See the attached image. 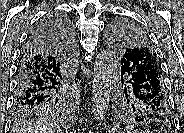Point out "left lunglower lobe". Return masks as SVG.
<instances>
[{
    "label": "left lung lower lobe",
    "mask_w": 184,
    "mask_h": 133,
    "mask_svg": "<svg viewBox=\"0 0 184 133\" xmlns=\"http://www.w3.org/2000/svg\"><path fill=\"white\" fill-rule=\"evenodd\" d=\"M138 68L132 70L129 84L133 88L135 97L142 103L147 119L172 123L169 108H166L167 105L169 107V102L163 79L151 74L150 71H143L144 68L140 65Z\"/></svg>",
    "instance_id": "left-lung-lower-lobe-1"
}]
</instances>
